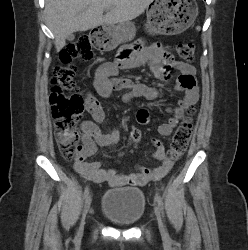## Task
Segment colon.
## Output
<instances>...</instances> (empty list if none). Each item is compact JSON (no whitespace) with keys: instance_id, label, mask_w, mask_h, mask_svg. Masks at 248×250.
Returning a JSON list of instances; mask_svg holds the SVG:
<instances>
[{"instance_id":"1","label":"colon","mask_w":248,"mask_h":250,"mask_svg":"<svg viewBox=\"0 0 248 250\" xmlns=\"http://www.w3.org/2000/svg\"><path fill=\"white\" fill-rule=\"evenodd\" d=\"M176 51L183 60L187 62L194 60V45L192 43H179L176 45ZM128 55L129 52L126 50L121 55V60ZM93 57L94 52L90 37L87 35L80 36L60 53V62L52 78L51 113L60 152L67 161H74L78 157L80 147L78 145L79 133L76 125L86 107L85 99L77 90L73 80L75 67L72 62L74 60L88 62ZM194 113L195 109L189 107L186 116L174 132L166 154L169 159L176 160L187 150L193 134ZM131 133L132 139L129 140L130 143L137 142L140 138L139 131L133 130Z\"/></svg>"}]
</instances>
